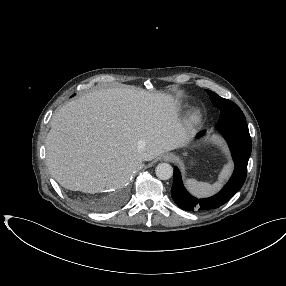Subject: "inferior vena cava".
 <instances>
[{
	"mask_svg": "<svg viewBox=\"0 0 286 286\" xmlns=\"http://www.w3.org/2000/svg\"><path fill=\"white\" fill-rule=\"evenodd\" d=\"M141 167H142V165H141V163H140V164H138V165L136 166L135 170H136V169H140Z\"/></svg>",
	"mask_w": 286,
	"mask_h": 286,
	"instance_id": "inferior-vena-cava-1",
	"label": "inferior vena cava"
}]
</instances>
